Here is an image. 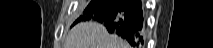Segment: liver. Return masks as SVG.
<instances>
[{
  "instance_id": "liver-1",
  "label": "liver",
  "mask_w": 213,
  "mask_h": 48,
  "mask_svg": "<svg viewBox=\"0 0 213 48\" xmlns=\"http://www.w3.org/2000/svg\"><path fill=\"white\" fill-rule=\"evenodd\" d=\"M64 48H129L121 38L108 33L106 27L94 21L80 22L68 33Z\"/></svg>"
}]
</instances>
